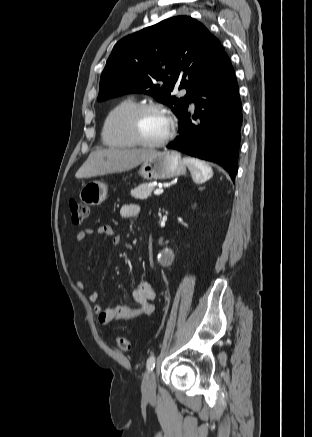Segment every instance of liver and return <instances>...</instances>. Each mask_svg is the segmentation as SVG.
<instances>
[{
	"instance_id": "6515ba94",
	"label": "liver",
	"mask_w": 312,
	"mask_h": 437,
	"mask_svg": "<svg viewBox=\"0 0 312 437\" xmlns=\"http://www.w3.org/2000/svg\"><path fill=\"white\" fill-rule=\"evenodd\" d=\"M154 150L98 149L90 153L76 172V178H90L130 170L146 160Z\"/></svg>"
}]
</instances>
